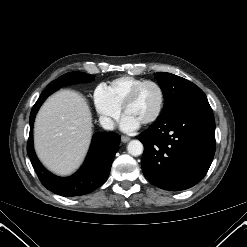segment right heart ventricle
<instances>
[{
    "mask_svg": "<svg viewBox=\"0 0 247 247\" xmlns=\"http://www.w3.org/2000/svg\"><path fill=\"white\" fill-rule=\"evenodd\" d=\"M144 79L133 76H121L112 80L106 87L112 100L120 108L132 89Z\"/></svg>",
    "mask_w": 247,
    "mask_h": 247,
    "instance_id": "obj_1",
    "label": "right heart ventricle"
}]
</instances>
